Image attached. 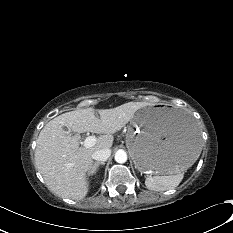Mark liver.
Listing matches in <instances>:
<instances>
[{
	"mask_svg": "<svg viewBox=\"0 0 233 233\" xmlns=\"http://www.w3.org/2000/svg\"><path fill=\"white\" fill-rule=\"evenodd\" d=\"M147 102H128L111 109H79L57 116L41 130L35 150V165L48 189L57 196L83 199L89 189L88 175L93 167L92 154L110 149L113 134L121 130L134 114L148 106ZM76 133L92 132L101 135L92 147H79L77 135H66L63 127Z\"/></svg>",
	"mask_w": 233,
	"mask_h": 233,
	"instance_id": "obj_1",
	"label": "liver"
}]
</instances>
